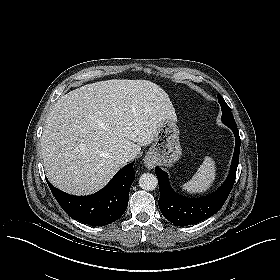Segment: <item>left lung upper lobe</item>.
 <instances>
[{
    "label": "left lung upper lobe",
    "mask_w": 280,
    "mask_h": 280,
    "mask_svg": "<svg viewBox=\"0 0 280 280\" xmlns=\"http://www.w3.org/2000/svg\"><path fill=\"white\" fill-rule=\"evenodd\" d=\"M218 102L222 109V122L228 127H237L229 106L220 94H218Z\"/></svg>",
    "instance_id": "5c2ea615"
}]
</instances>
